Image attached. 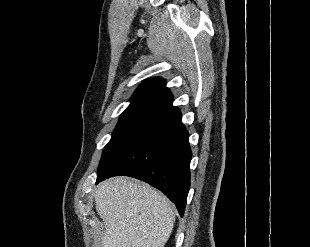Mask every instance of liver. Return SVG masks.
<instances>
[{"mask_svg": "<svg viewBox=\"0 0 310 247\" xmlns=\"http://www.w3.org/2000/svg\"><path fill=\"white\" fill-rule=\"evenodd\" d=\"M96 210L105 224L102 247H164L175 212L161 192L124 177L108 179L95 190Z\"/></svg>", "mask_w": 310, "mask_h": 247, "instance_id": "obj_1", "label": "liver"}]
</instances>
